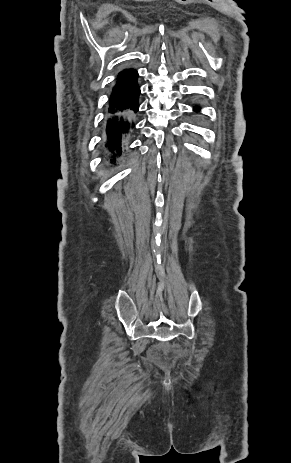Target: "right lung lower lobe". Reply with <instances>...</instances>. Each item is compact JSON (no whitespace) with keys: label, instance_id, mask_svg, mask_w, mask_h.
Returning <instances> with one entry per match:
<instances>
[{"label":"right lung lower lobe","instance_id":"right-lung-lower-lobe-1","mask_svg":"<svg viewBox=\"0 0 291 463\" xmlns=\"http://www.w3.org/2000/svg\"><path fill=\"white\" fill-rule=\"evenodd\" d=\"M137 77V72L118 75L114 88L121 89V92L117 96H110L109 99L103 147L106 162L111 166L116 164V160L128 147L134 132L140 95Z\"/></svg>","mask_w":291,"mask_h":463}]
</instances>
